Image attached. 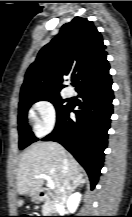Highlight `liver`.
I'll list each match as a JSON object with an SVG mask.
<instances>
[{
    "label": "liver",
    "instance_id": "6515ba94",
    "mask_svg": "<svg viewBox=\"0 0 132 217\" xmlns=\"http://www.w3.org/2000/svg\"><path fill=\"white\" fill-rule=\"evenodd\" d=\"M68 160V174L75 178L81 174V166L60 144L56 142H38L28 147L21 156L17 169V190L20 195L36 196L45 182L35 175L46 174L55 183L58 193L65 179L63 158ZM23 199H19L17 206L21 207Z\"/></svg>",
    "mask_w": 132,
    "mask_h": 217
}]
</instances>
